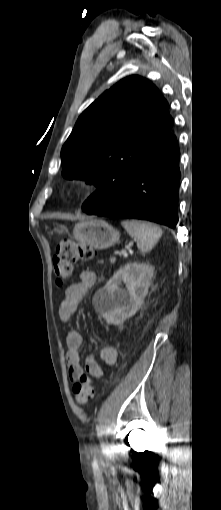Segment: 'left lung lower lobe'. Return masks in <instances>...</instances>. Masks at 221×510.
<instances>
[{
    "label": "left lung lower lobe",
    "instance_id": "obj_1",
    "mask_svg": "<svg viewBox=\"0 0 221 510\" xmlns=\"http://www.w3.org/2000/svg\"><path fill=\"white\" fill-rule=\"evenodd\" d=\"M179 156L177 141L154 152L110 203L97 209L84 202L83 211L90 215L144 219L175 228L178 223Z\"/></svg>",
    "mask_w": 221,
    "mask_h": 510
}]
</instances>
